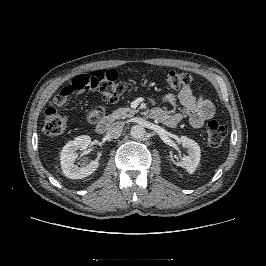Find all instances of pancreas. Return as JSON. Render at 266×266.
I'll return each instance as SVG.
<instances>
[{"label": "pancreas", "instance_id": "pancreas-1", "mask_svg": "<svg viewBox=\"0 0 266 266\" xmlns=\"http://www.w3.org/2000/svg\"><path fill=\"white\" fill-rule=\"evenodd\" d=\"M137 112L138 110H133L131 108H118L113 111L111 115L107 116V120L114 121L115 119H125L127 117H132Z\"/></svg>", "mask_w": 266, "mask_h": 266}]
</instances>
